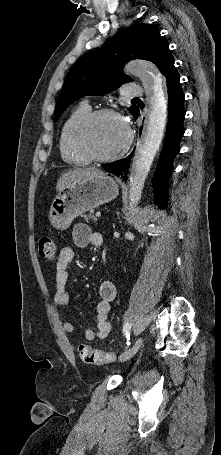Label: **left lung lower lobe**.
<instances>
[{"mask_svg":"<svg viewBox=\"0 0 221 455\" xmlns=\"http://www.w3.org/2000/svg\"><path fill=\"white\" fill-rule=\"evenodd\" d=\"M163 75L166 78L168 89V122L162 152L152 178L155 201L159 202L161 209L167 206L169 178L173 172V160L180 151L179 141L184 134L183 120L185 117L184 94L180 76L174 64ZM133 116L138 118L139 109ZM131 157L132 154L103 167L115 175H120L123 171L128 170ZM124 179L126 180V177Z\"/></svg>","mask_w":221,"mask_h":455,"instance_id":"1","label":"left lung lower lobe"}]
</instances>
